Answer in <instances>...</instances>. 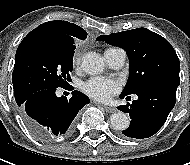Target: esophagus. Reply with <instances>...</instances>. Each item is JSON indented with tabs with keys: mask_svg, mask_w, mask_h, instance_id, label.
I'll list each match as a JSON object with an SVG mask.
<instances>
[{
	"mask_svg": "<svg viewBox=\"0 0 190 165\" xmlns=\"http://www.w3.org/2000/svg\"><path fill=\"white\" fill-rule=\"evenodd\" d=\"M101 107H103V109L108 112V113H114L116 112V109L113 107H109V106H105V105H100Z\"/></svg>",
	"mask_w": 190,
	"mask_h": 165,
	"instance_id": "1",
	"label": "esophagus"
}]
</instances>
